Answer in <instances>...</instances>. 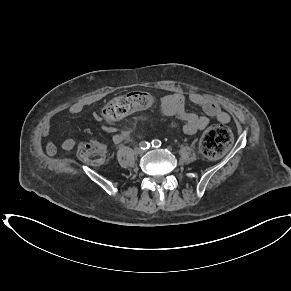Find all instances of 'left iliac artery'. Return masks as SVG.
<instances>
[{
  "mask_svg": "<svg viewBox=\"0 0 291 291\" xmlns=\"http://www.w3.org/2000/svg\"><path fill=\"white\" fill-rule=\"evenodd\" d=\"M151 144H152V147L158 148L161 146L162 142L158 139H154L152 140Z\"/></svg>",
  "mask_w": 291,
  "mask_h": 291,
  "instance_id": "left-iliac-artery-1",
  "label": "left iliac artery"
}]
</instances>
